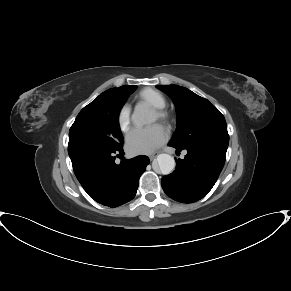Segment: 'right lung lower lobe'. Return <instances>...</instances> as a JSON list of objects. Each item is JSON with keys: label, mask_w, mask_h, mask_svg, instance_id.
I'll return each mask as SVG.
<instances>
[{"label": "right lung lower lobe", "mask_w": 291, "mask_h": 291, "mask_svg": "<svg viewBox=\"0 0 291 291\" xmlns=\"http://www.w3.org/2000/svg\"><path fill=\"white\" fill-rule=\"evenodd\" d=\"M122 146L105 149L93 146L68 147L74 173L89 196L102 205L120 206L135 195L139 178L149 164L146 156L115 163Z\"/></svg>", "instance_id": "right-lung-lower-lobe-1"}]
</instances>
